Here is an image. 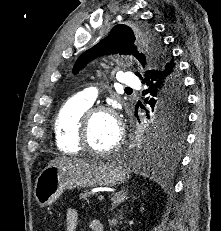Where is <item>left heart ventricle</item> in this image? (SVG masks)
I'll use <instances>...</instances> for the list:
<instances>
[{
    "label": "left heart ventricle",
    "instance_id": "1",
    "mask_svg": "<svg viewBox=\"0 0 221 231\" xmlns=\"http://www.w3.org/2000/svg\"><path fill=\"white\" fill-rule=\"evenodd\" d=\"M118 126L114 118L106 113L96 115L89 128V143L96 150L111 147L118 138Z\"/></svg>",
    "mask_w": 221,
    "mask_h": 231
}]
</instances>
